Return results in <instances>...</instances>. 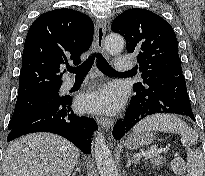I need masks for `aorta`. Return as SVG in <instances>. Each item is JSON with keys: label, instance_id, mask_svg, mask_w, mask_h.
I'll return each instance as SVG.
<instances>
[{"label": "aorta", "instance_id": "1", "mask_svg": "<svg viewBox=\"0 0 205 176\" xmlns=\"http://www.w3.org/2000/svg\"><path fill=\"white\" fill-rule=\"evenodd\" d=\"M124 44L123 37L116 33H110L105 38V48L110 54L120 53ZM94 156L100 176H117L115 163L101 132L94 139Z\"/></svg>", "mask_w": 205, "mask_h": 176}]
</instances>
